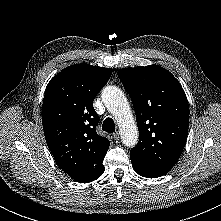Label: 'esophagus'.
I'll list each match as a JSON object with an SVG mask.
<instances>
[{
	"label": "esophagus",
	"mask_w": 221,
	"mask_h": 221,
	"mask_svg": "<svg viewBox=\"0 0 221 221\" xmlns=\"http://www.w3.org/2000/svg\"><path fill=\"white\" fill-rule=\"evenodd\" d=\"M113 138L114 140H119L120 139V134L118 131H116L115 133H113Z\"/></svg>",
	"instance_id": "obj_1"
}]
</instances>
